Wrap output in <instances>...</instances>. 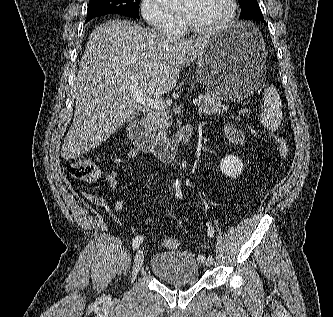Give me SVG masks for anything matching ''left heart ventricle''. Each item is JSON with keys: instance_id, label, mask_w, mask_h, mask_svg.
I'll return each mask as SVG.
<instances>
[{"instance_id": "b2bd125f", "label": "left heart ventricle", "mask_w": 333, "mask_h": 317, "mask_svg": "<svg viewBox=\"0 0 333 317\" xmlns=\"http://www.w3.org/2000/svg\"><path fill=\"white\" fill-rule=\"evenodd\" d=\"M229 11L228 0H183L178 13L201 28L221 22Z\"/></svg>"}]
</instances>
